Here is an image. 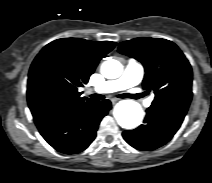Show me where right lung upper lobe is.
<instances>
[{"label":"right lung upper lobe","mask_w":212,"mask_h":183,"mask_svg":"<svg viewBox=\"0 0 212 183\" xmlns=\"http://www.w3.org/2000/svg\"><path fill=\"white\" fill-rule=\"evenodd\" d=\"M115 42L79 38L57 39L46 45L34 59L28 75L27 99L34 119L61 108H79L92 103L80 97L99 60Z\"/></svg>","instance_id":"obj_1"}]
</instances>
